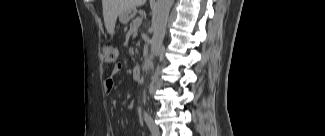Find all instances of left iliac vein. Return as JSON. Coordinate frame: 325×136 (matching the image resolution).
<instances>
[{"instance_id":"left-iliac-vein-1","label":"left iliac vein","mask_w":325,"mask_h":136,"mask_svg":"<svg viewBox=\"0 0 325 136\" xmlns=\"http://www.w3.org/2000/svg\"><path fill=\"white\" fill-rule=\"evenodd\" d=\"M151 133L153 136H160V129L155 123L153 124V129L151 130Z\"/></svg>"}]
</instances>
